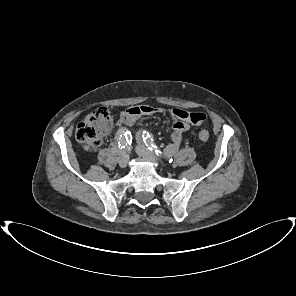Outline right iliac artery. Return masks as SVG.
<instances>
[{
  "label": "right iliac artery",
  "instance_id": "right-iliac-artery-1",
  "mask_svg": "<svg viewBox=\"0 0 296 296\" xmlns=\"http://www.w3.org/2000/svg\"><path fill=\"white\" fill-rule=\"evenodd\" d=\"M117 143L120 150L126 149L125 147V129H121L117 133Z\"/></svg>",
  "mask_w": 296,
  "mask_h": 296
}]
</instances>
